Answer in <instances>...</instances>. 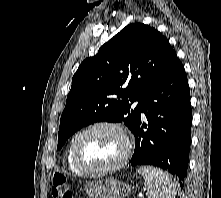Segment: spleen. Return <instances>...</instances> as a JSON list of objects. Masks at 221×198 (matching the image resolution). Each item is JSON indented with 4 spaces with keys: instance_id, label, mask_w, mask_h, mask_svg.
<instances>
[{
    "instance_id": "spleen-1",
    "label": "spleen",
    "mask_w": 221,
    "mask_h": 198,
    "mask_svg": "<svg viewBox=\"0 0 221 198\" xmlns=\"http://www.w3.org/2000/svg\"><path fill=\"white\" fill-rule=\"evenodd\" d=\"M138 172L144 178L148 198H175L176 184L168 173L151 166L140 167Z\"/></svg>"
}]
</instances>
